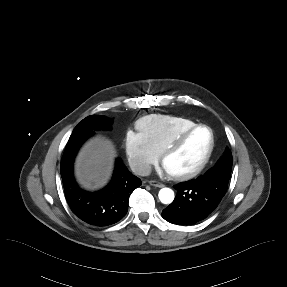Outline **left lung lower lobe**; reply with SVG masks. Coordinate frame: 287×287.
Masks as SVG:
<instances>
[{
  "label": "left lung lower lobe",
  "instance_id": "0a47b994",
  "mask_svg": "<svg viewBox=\"0 0 287 287\" xmlns=\"http://www.w3.org/2000/svg\"><path fill=\"white\" fill-rule=\"evenodd\" d=\"M229 179L222 170L174 186L177 195L162 211V217L174 224L191 225L205 219L218 206L226 193Z\"/></svg>",
  "mask_w": 287,
  "mask_h": 287
}]
</instances>
